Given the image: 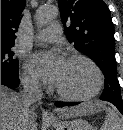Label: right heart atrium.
I'll return each instance as SVG.
<instances>
[{"instance_id": "right-heart-atrium-1", "label": "right heart atrium", "mask_w": 123, "mask_h": 130, "mask_svg": "<svg viewBox=\"0 0 123 130\" xmlns=\"http://www.w3.org/2000/svg\"><path fill=\"white\" fill-rule=\"evenodd\" d=\"M22 82L24 86L31 91H38L41 88L39 79L31 72L28 67L24 68Z\"/></svg>"}]
</instances>
